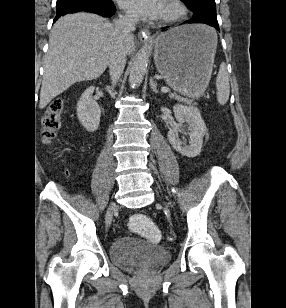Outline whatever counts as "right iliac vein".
Returning a JSON list of instances; mask_svg holds the SVG:
<instances>
[{
  "label": "right iliac vein",
  "instance_id": "1",
  "mask_svg": "<svg viewBox=\"0 0 286 308\" xmlns=\"http://www.w3.org/2000/svg\"><path fill=\"white\" fill-rule=\"evenodd\" d=\"M115 210H116V205L114 203H112L110 205V207L108 208V211L106 213L105 223H106L107 227H109L111 225L113 213L115 212Z\"/></svg>",
  "mask_w": 286,
  "mask_h": 308
}]
</instances>
